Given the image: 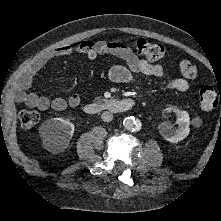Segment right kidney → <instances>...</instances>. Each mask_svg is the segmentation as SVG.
Masks as SVG:
<instances>
[{
    "mask_svg": "<svg viewBox=\"0 0 221 221\" xmlns=\"http://www.w3.org/2000/svg\"><path fill=\"white\" fill-rule=\"evenodd\" d=\"M39 132L44 146L57 152L68 146L74 133V124L69 119L52 118L41 124Z\"/></svg>",
    "mask_w": 221,
    "mask_h": 221,
    "instance_id": "1",
    "label": "right kidney"
}]
</instances>
